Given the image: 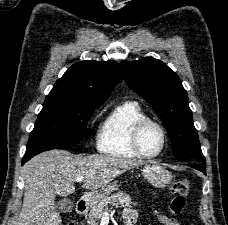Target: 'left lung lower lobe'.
<instances>
[{"label":"left lung lower lobe","instance_id":"obj_1","mask_svg":"<svg viewBox=\"0 0 228 225\" xmlns=\"http://www.w3.org/2000/svg\"><path fill=\"white\" fill-rule=\"evenodd\" d=\"M191 167H193V168L203 172L204 174H206L203 167H202V164L195 163V164L191 165Z\"/></svg>","mask_w":228,"mask_h":225}]
</instances>
